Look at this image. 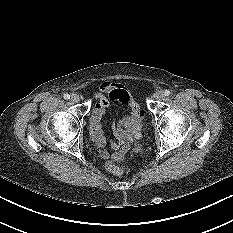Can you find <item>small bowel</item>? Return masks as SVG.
Listing matches in <instances>:
<instances>
[{"label":"small bowel","mask_w":233,"mask_h":233,"mask_svg":"<svg viewBox=\"0 0 233 233\" xmlns=\"http://www.w3.org/2000/svg\"><path fill=\"white\" fill-rule=\"evenodd\" d=\"M94 98L96 100V104L90 117V124L93 135L101 148L100 154L104 159L118 162L124 158L130 147L125 143V132L123 127L120 126L116 130L118 142L110 144L111 148L116 150V153L109 155L104 149L106 140L102 131L101 122L106 109L111 104H123L132 111V118L138 120L142 118L143 111L123 86L115 84L112 81L102 82L99 87V92L95 94Z\"/></svg>","instance_id":"c3829d8e"}]
</instances>
